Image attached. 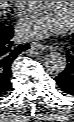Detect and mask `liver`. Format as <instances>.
<instances>
[{
	"label": "liver",
	"mask_w": 74,
	"mask_h": 122,
	"mask_svg": "<svg viewBox=\"0 0 74 122\" xmlns=\"http://www.w3.org/2000/svg\"><path fill=\"white\" fill-rule=\"evenodd\" d=\"M6 7H7V1H0V9L4 10Z\"/></svg>",
	"instance_id": "liver-1"
}]
</instances>
